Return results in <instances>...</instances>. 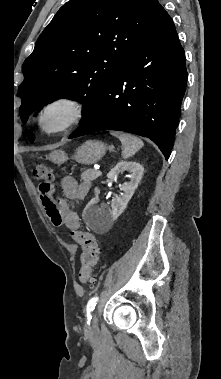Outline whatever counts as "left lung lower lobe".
I'll return each instance as SVG.
<instances>
[{
  "mask_svg": "<svg viewBox=\"0 0 221 379\" xmlns=\"http://www.w3.org/2000/svg\"><path fill=\"white\" fill-rule=\"evenodd\" d=\"M186 83L185 52L163 10L154 29L106 82L69 138L126 131L148 137L168 159Z\"/></svg>",
  "mask_w": 221,
  "mask_h": 379,
  "instance_id": "left-lung-lower-lobe-1",
  "label": "left lung lower lobe"
}]
</instances>
